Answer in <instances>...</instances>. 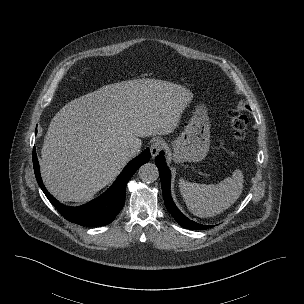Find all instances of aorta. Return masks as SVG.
Listing matches in <instances>:
<instances>
[{
  "label": "aorta",
  "instance_id": "762f6f07",
  "mask_svg": "<svg viewBox=\"0 0 304 304\" xmlns=\"http://www.w3.org/2000/svg\"><path fill=\"white\" fill-rule=\"evenodd\" d=\"M139 177L143 182L152 183L159 177V172L155 164L146 163L139 168Z\"/></svg>",
  "mask_w": 304,
  "mask_h": 304
}]
</instances>
